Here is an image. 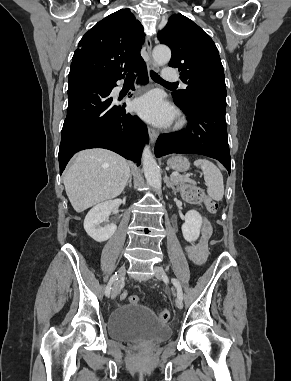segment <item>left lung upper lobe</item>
I'll return each mask as SVG.
<instances>
[{"label": "left lung upper lobe", "instance_id": "left-lung-upper-lobe-1", "mask_svg": "<svg viewBox=\"0 0 291 381\" xmlns=\"http://www.w3.org/2000/svg\"><path fill=\"white\" fill-rule=\"evenodd\" d=\"M160 43L172 51L169 66L179 69L186 89L172 93L174 101L188 105L193 100L226 104L223 66L213 40L192 20L182 14L169 18L158 33Z\"/></svg>", "mask_w": 291, "mask_h": 381}]
</instances>
